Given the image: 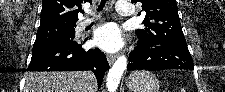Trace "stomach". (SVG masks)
Listing matches in <instances>:
<instances>
[{
	"label": "stomach",
	"instance_id": "stomach-1",
	"mask_svg": "<svg viewBox=\"0 0 225 92\" xmlns=\"http://www.w3.org/2000/svg\"><path fill=\"white\" fill-rule=\"evenodd\" d=\"M126 85L132 92H158L159 81L149 71H133L126 79Z\"/></svg>",
	"mask_w": 225,
	"mask_h": 92
}]
</instances>
